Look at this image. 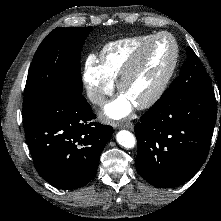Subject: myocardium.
<instances>
[{"instance_id":"1","label":"myocardium","mask_w":221,"mask_h":221,"mask_svg":"<svg viewBox=\"0 0 221 221\" xmlns=\"http://www.w3.org/2000/svg\"><path fill=\"white\" fill-rule=\"evenodd\" d=\"M162 37H167L171 40L172 45H173V56L171 63L169 65V68L164 75L163 79L157 86V88L153 91V93L148 96L145 100L142 102L135 104V106L138 109H147L155 105L160 98L163 96L165 91L167 90L169 83L175 73L177 64H178V59H179V47L177 44L176 39L174 38L173 35H171L168 32H159L157 34H154L150 39H148L135 53V55L132 57L124 71L121 73L120 77L118 78L117 81V87L120 93H123L125 85L136 76V74L140 71L142 68V65L145 60L146 53L150 46L157 41L158 39Z\"/></svg>"}]
</instances>
